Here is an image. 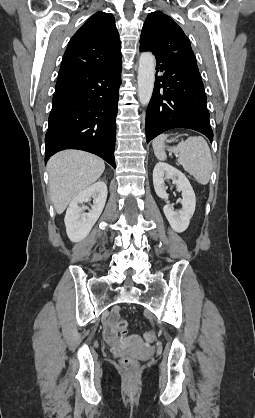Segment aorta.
<instances>
[{"label":"aorta","mask_w":255,"mask_h":418,"mask_svg":"<svg viewBox=\"0 0 255 418\" xmlns=\"http://www.w3.org/2000/svg\"><path fill=\"white\" fill-rule=\"evenodd\" d=\"M155 81V57L151 52H143L139 58L138 97L140 103L148 105L152 97Z\"/></svg>","instance_id":"obj_1"}]
</instances>
